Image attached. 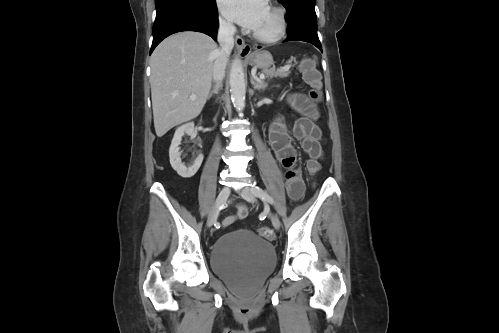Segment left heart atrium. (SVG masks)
<instances>
[{"label": "left heart atrium", "instance_id": "left-heart-atrium-1", "mask_svg": "<svg viewBox=\"0 0 499 333\" xmlns=\"http://www.w3.org/2000/svg\"><path fill=\"white\" fill-rule=\"evenodd\" d=\"M222 14L245 28L255 30L267 12V0H218Z\"/></svg>", "mask_w": 499, "mask_h": 333}]
</instances>
